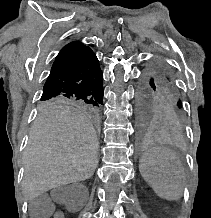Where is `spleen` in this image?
I'll list each match as a JSON object with an SVG mask.
<instances>
[{
  "instance_id": "obj_1",
  "label": "spleen",
  "mask_w": 211,
  "mask_h": 218,
  "mask_svg": "<svg viewBox=\"0 0 211 218\" xmlns=\"http://www.w3.org/2000/svg\"><path fill=\"white\" fill-rule=\"evenodd\" d=\"M139 172L163 200H180L183 194L184 170L167 150H148L139 162Z\"/></svg>"
}]
</instances>
